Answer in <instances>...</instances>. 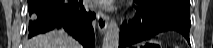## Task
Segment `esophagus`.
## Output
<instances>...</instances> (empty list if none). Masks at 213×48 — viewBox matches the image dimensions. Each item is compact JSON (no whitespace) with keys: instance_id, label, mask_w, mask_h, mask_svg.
<instances>
[{"instance_id":"1","label":"esophagus","mask_w":213,"mask_h":48,"mask_svg":"<svg viewBox=\"0 0 213 48\" xmlns=\"http://www.w3.org/2000/svg\"><path fill=\"white\" fill-rule=\"evenodd\" d=\"M97 24H98V29H99L100 33L103 34L105 32L106 28H107L108 16L101 11L98 12Z\"/></svg>"}]
</instances>
